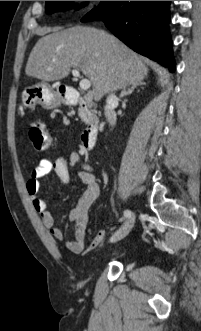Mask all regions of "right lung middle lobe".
<instances>
[{"label":"right lung middle lobe","instance_id":"dd1d6c3e","mask_svg":"<svg viewBox=\"0 0 201 331\" xmlns=\"http://www.w3.org/2000/svg\"><path fill=\"white\" fill-rule=\"evenodd\" d=\"M72 7V1H46L45 11L51 14L56 11L66 10Z\"/></svg>","mask_w":201,"mask_h":331}]
</instances>
